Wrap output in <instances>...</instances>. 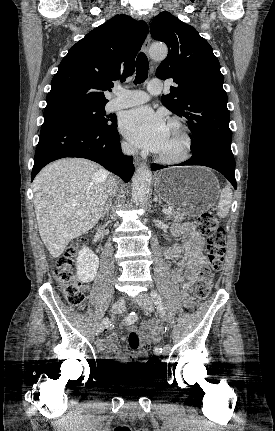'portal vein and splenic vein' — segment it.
I'll use <instances>...</instances> for the list:
<instances>
[{"instance_id":"1","label":"portal vein and splenic vein","mask_w":275,"mask_h":431,"mask_svg":"<svg viewBox=\"0 0 275 431\" xmlns=\"http://www.w3.org/2000/svg\"><path fill=\"white\" fill-rule=\"evenodd\" d=\"M162 212L165 213V214H171L173 212V210L170 209V208H168V209L165 208V209L162 210Z\"/></svg>"}]
</instances>
